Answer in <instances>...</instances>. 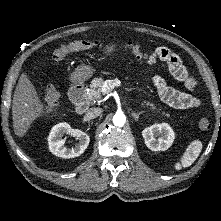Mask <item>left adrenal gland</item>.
Returning a JSON list of instances; mask_svg holds the SVG:
<instances>
[{"label": "left adrenal gland", "mask_w": 221, "mask_h": 221, "mask_svg": "<svg viewBox=\"0 0 221 221\" xmlns=\"http://www.w3.org/2000/svg\"><path fill=\"white\" fill-rule=\"evenodd\" d=\"M144 112L143 111H141V112H131V115H132V117L135 119V121H138L139 120V115H141V114H143Z\"/></svg>", "instance_id": "left-adrenal-gland-1"}]
</instances>
